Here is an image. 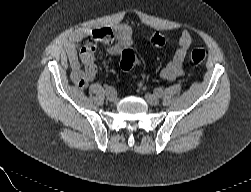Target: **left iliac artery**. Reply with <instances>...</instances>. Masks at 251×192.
<instances>
[{
	"mask_svg": "<svg viewBox=\"0 0 251 192\" xmlns=\"http://www.w3.org/2000/svg\"><path fill=\"white\" fill-rule=\"evenodd\" d=\"M154 92L158 97H161L163 95V90L161 88H156Z\"/></svg>",
	"mask_w": 251,
	"mask_h": 192,
	"instance_id": "44dca946",
	"label": "left iliac artery"
}]
</instances>
